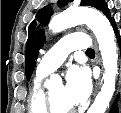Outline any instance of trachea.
Instances as JSON below:
<instances>
[{
  "label": "trachea",
  "mask_w": 121,
  "mask_h": 113,
  "mask_svg": "<svg viewBox=\"0 0 121 113\" xmlns=\"http://www.w3.org/2000/svg\"><path fill=\"white\" fill-rule=\"evenodd\" d=\"M86 53H87V54H93V53H95V52H94V50H93L92 48H90V49L86 50Z\"/></svg>",
  "instance_id": "trachea-1"
}]
</instances>
